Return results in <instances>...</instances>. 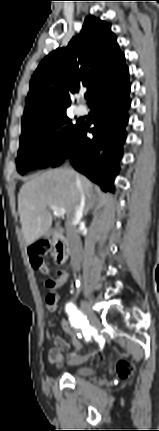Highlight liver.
<instances>
[{
	"instance_id": "obj_1",
	"label": "liver",
	"mask_w": 159,
	"mask_h": 431,
	"mask_svg": "<svg viewBox=\"0 0 159 431\" xmlns=\"http://www.w3.org/2000/svg\"><path fill=\"white\" fill-rule=\"evenodd\" d=\"M76 176L80 178L84 193H89L92 183L73 170L59 168L46 171L28 180L18 195V212L26 245L46 234L52 225L50 205L66 211V223L74 216L80 192L76 188Z\"/></svg>"
}]
</instances>
